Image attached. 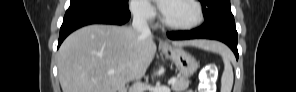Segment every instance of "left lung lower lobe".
I'll list each match as a JSON object with an SVG mask.
<instances>
[{"label": "left lung lower lobe", "mask_w": 296, "mask_h": 92, "mask_svg": "<svg viewBox=\"0 0 296 92\" xmlns=\"http://www.w3.org/2000/svg\"><path fill=\"white\" fill-rule=\"evenodd\" d=\"M167 36L172 40H186L196 38H206L219 40L227 44L234 52L236 59H238L237 50V31L235 24H223L212 30H203L202 28H196L191 31H173L168 32Z\"/></svg>", "instance_id": "obj_1"}]
</instances>
